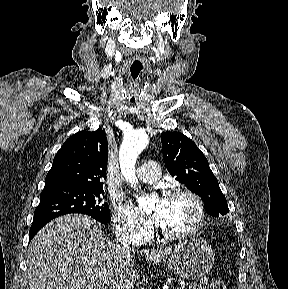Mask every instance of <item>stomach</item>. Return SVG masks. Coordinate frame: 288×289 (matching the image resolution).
Wrapping results in <instances>:
<instances>
[{"instance_id": "obj_1", "label": "stomach", "mask_w": 288, "mask_h": 289, "mask_svg": "<svg viewBox=\"0 0 288 289\" xmlns=\"http://www.w3.org/2000/svg\"><path fill=\"white\" fill-rule=\"evenodd\" d=\"M214 263V253L201 238L185 240L172 248L166 264L177 276L195 280L203 277Z\"/></svg>"}]
</instances>
